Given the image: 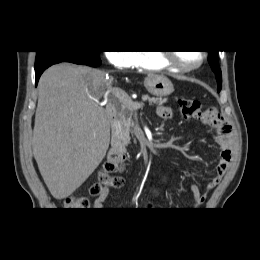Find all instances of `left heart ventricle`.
<instances>
[{"label":"left heart ventricle","instance_id":"b2bd125f","mask_svg":"<svg viewBox=\"0 0 260 260\" xmlns=\"http://www.w3.org/2000/svg\"><path fill=\"white\" fill-rule=\"evenodd\" d=\"M176 58L182 64L192 65L199 61L200 53L198 51H181L176 53Z\"/></svg>","mask_w":260,"mask_h":260}]
</instances>
